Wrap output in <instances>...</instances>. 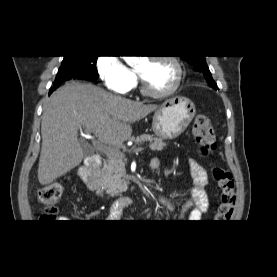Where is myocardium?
I'll list each match as a JSON object with an SVG mask.
<instances>
[{"label":"myocardium","mask_w":277,"mask_h":277,"mask_svg":"<svg viewBox=\"0 0 277 277\" xmlns=\"http://www.w3.org/2000/svg\"><path fill=\"white\" fill-rule=\"evenodd\" d=\"M149 60H153V61L162 60V61L168 62L174 68L175 77H174V80H173L171 86L168 89H166L164 91L155 92V91L150 90L146 86L142 75L137 71L138 78L140 81L141 93L145 96H148L151 98H156V99L165 98V97H168V96L174 94L176 92V90L179 88L181 81H182V77H183L182 65H181L180 61L178 60V58L171 56V55H159V56L150 57Z\"/></svg>","instance_id":"f54148a6"}]
</instances>
